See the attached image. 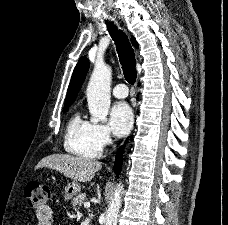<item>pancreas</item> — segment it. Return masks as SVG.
I'll return each instance as SVG.
<instances>
[{"label":"pancreas","mask_w":228,"mask_h":225,"mask_svg":"<svg viewBox=\"0 0 228 225\" xmlns=\"http://www.w3.org/2000/svg\"><path fill=\"white\" fill-rule=\"evenodd\" d=\"M86 201V195L85 193H80V195H77V197H74L73 201H71L72 205H73V209H75V207H82L83 203H85Z\"/></svg>","instance_id":"pancreas-1"}]
</instances>
